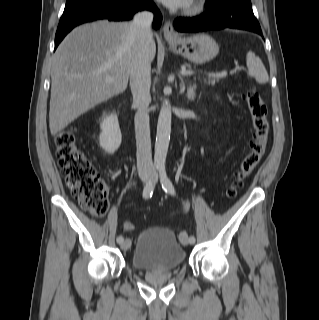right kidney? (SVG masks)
Wrapping results in <instances>:
<instances>
[{
    "instance_id": "right-kidney-1",
    "label": "right kidney",
    "mask_w": 319,
    "mask_h": 320,
    "mask_svg": "<svg viewBox=\"0 0 319 320\" xmlns=\"http://www.w3.org/2000/svg\"><path fill=\"white\" fill-rule=\"evenodd\" d=\"M100 128L99 144L107 153L113 154L119 148L122 141L118 116L111 114L105 117Z\"/></svg>"
}]
</instances>
